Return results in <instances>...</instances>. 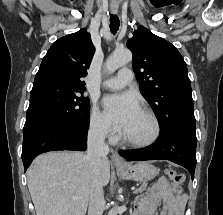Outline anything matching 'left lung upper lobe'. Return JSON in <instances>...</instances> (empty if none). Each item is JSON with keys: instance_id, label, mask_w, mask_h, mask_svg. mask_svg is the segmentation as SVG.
Listing matches in <instances>:
<instances>
[{"instance_id": "1", "label": "left lung upper lobe", "mask_w": 223, "mask_h": 215, "mask_svg": "<svg viewBox=\"0 0 223 215\" xmlns=\"http://www.w3.org/2000/svg\"><path fill=\"white\" fill-rule=\"evenodd\" d=\"M140 92L154 110L160 133L195 129L196 120L187 66L170 42L140 26L127 41Z\"/></svg>"}]
</instances>
